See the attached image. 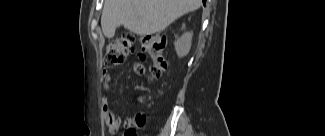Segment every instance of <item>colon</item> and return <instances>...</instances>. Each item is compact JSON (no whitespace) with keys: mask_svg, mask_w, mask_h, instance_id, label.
<instances>
[{"mask_svg":"<svg viewBox=\"0 0 325 136\" xmlns=\"http://www.w3.org/2000/svg\"><path fill=\"white\" fill-rule=\"evenodd\" d=\"M141 46L153 61V65L149 69V76L158 78L167 67L164 59L166 37L162 34L148 35L142 38ZM133 51L134 36L130 33L122 34L108 44L104 55V64L108 67L116 66L124 62ZM124 136H136V130L127 129Z\"/></svg>","mask_w":325,"mask_h":136,"instance_id":"5ec220e1","label":"colon"}]
</instances>
